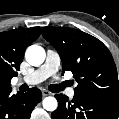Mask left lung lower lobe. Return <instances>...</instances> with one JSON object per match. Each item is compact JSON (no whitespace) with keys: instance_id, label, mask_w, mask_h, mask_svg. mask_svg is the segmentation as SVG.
<instances>
[{"instance_id":"1","label":"left lung lower lobe","mask_w":119,"mask_h":119,"mask_svg":"<svg viewBox=\"0 0 119 119\" xmlns=\"http://www.w3.org/2000/svg\"><path fill=\"white\" fill-rule=\"evenodd\" d=\"M58 108L52 119H117L119 100L107 97H91L75 93L70 101L63 94L55 95Z\"/></svg>"}]
</instances>
